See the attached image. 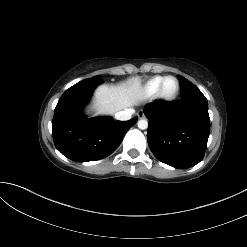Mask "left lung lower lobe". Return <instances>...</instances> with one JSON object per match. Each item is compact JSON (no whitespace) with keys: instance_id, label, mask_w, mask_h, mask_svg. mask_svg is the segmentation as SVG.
Listing matches in <instances>:
<instances>
[{"instance_id":"1","label":"left lung lower lobe","mask_w":247,"mask_h":247,"mask_svg":"<svg viewBox=\"0 0 247 247\" xmlns=\"http://www.w3.org/2000/svg\"><path fill=\"white\" fill-rule=\"evenodd\" d=\"M172 103L154 102L144 108L149 119L148 144L161 162L175 168H190L205 154L210 134L207 99L196 87L181 93Z\"/></svg>"}]
</instances>
